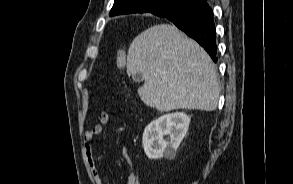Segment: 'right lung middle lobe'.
<instances>
[{"mask_svg": "<svg viewBox=\"0 0 293 184\" xmlns=\"http://www.w3.org/2000/svg\"><path fill=\"white\" fill-rule=\"evenodd\" d=\"M155 4L156 6H159V7H164L166 5L164 1H156Z\"/></svg>", "mask_w": 293, "mask_h": 184, "instance_id": "right-lung-middle-lobe-1", "label": "right lung middle lobe"}]
</instances>
